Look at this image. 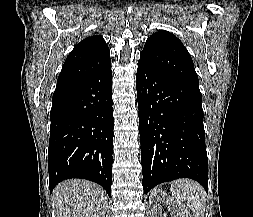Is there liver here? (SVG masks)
<instances>
[{"instance_id":"1","label":"liver","mask_w":253,"mask_h":217,"mask_svg":"<svg viewBox=\"0 0 253 217\" xmlns=\"http://www.w3.org/2000/svg\"><path fill=\"white\" fill-rule=\"evenodd\" d=\"M52 195L57 217H105L106 193L93 182L67 180L58 184Z\"/></svg>"}]
</instances>
